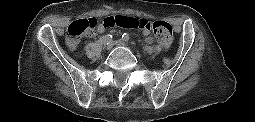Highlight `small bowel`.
<instances>
[{
    "instance_id": "c3829d8e",
    "label": "small bowel",
    "mask_w": 255,
    "mask_h": 122,
    "mask_svg": "<svg viewBox=\"0 0 255 122\" xmlns=\"http://www.w3.org/2000/svg\"><path fill=\"white\" fill-rule=\"evenodd\" d=\"M109 28H110V26L107 25L106 18H105L103 21H101L98 24L97 29H96V33L97 34H102V33H104ZM143 33H144V35H147L146 42L147 43H152V41H153L152 38L150 36H148L149 35V31H143Z\"/></svg>"
}]
</instances>
